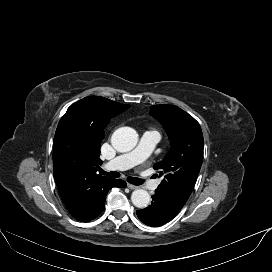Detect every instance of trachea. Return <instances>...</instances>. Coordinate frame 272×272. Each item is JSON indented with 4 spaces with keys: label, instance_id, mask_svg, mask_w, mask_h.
Masks as SVG:
<instances>
[{
    "label": "trachea",
    "instance_id": "3493384b",
    "mask_svg": "<svg viewBox=\"0 0 272 272\" xmlns=\"http://www.w3.org/2000/svg\"><path fill=\"white\" fill-rule=\"evenodd\" d=\"M99 172L101 175H106L112 178H119L120 177V173L117 171H111V172H106L102 169H99ZM127 181L133 185H141L143 184V180L140 178H136V177H127Z\"/></svg>",
    "mask_w": 272,
    "mask_h": 272
}]
</instances>
